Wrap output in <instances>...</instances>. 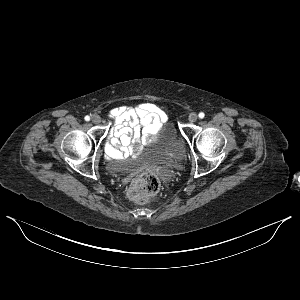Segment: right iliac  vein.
<instances>
[{"label": "right iliac vein", "mask_w": 300, "mask_h": 300, "mask_svg": "<svg viewBox=\"0 0 300 300\" xmlns=\"http://www.w3.org/2000/svg\"><path fill=\"white\" fill-rule=\"evenodd\" d=\"M91 121L94 123V124H99L101 122V118L99 115L97 114H94L92 115L91 117Z\"/></svg>", "instance_id": "right-iliac-vein-1"}]
</instances>
